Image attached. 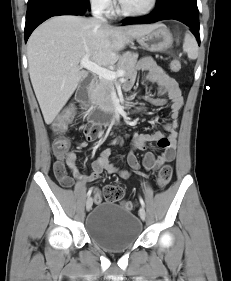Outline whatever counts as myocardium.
<instances>
[{
    "label": "myocardium",
    "instance_id": "f54148a6",
    "mask_svg": "<svg viewBox=\"0 0 231 281\" xmlns=\"http://www.w3.org/2000/svg\"><path fill=\"white\" fill-rule=\"evenodd\" d=\"M158 0H151L147 8L142 10H130L126 8L121 0H119V11L121 14L130 17H143L151 14L157 8Z\"/></svg>",
    "mask_w": 231,
    "mask_h": 281
}]
</instances>
